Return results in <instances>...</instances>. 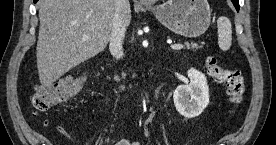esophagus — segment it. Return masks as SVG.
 <instances>
[{
  "label": "esophagus",
  "mask_w": 276,
  "mask_h": 145,
  "mask_svg": "<svg viewBox=\"0 0 276 145\" xmlns=\"http://www.w3.org/2000/svg\"><path fill=\"white\" fill-rule=\"evenodd\" d=\"M141 4H151V0H140Z\"/></svg>",
  "instance_id": "34e87169"
}]
</instances>
